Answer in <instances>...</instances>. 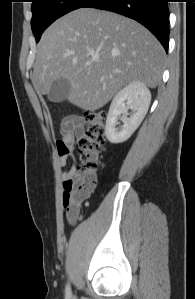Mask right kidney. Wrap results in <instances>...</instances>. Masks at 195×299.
<instances>
[{
    "mask_svg": "<svg viewBox=\"0 0 195 299\" xmlns=\"http://www.w3.org/2000/svg\"><path fill=\"white\" fill-rule=\"evenodd\" d=\"M151 101V93L140 81H134L113 98L107 115L105 135L109 142L118 144L131 137L144 119ZM131 110V113L128 111ZM118 120L123 125L117 127Z\"/></svg>",
    "mask_w": 195,
    "mask_h": 299,
    "instance_id": "obj_1",
    "label": "right kidney"
}]
</instances>
